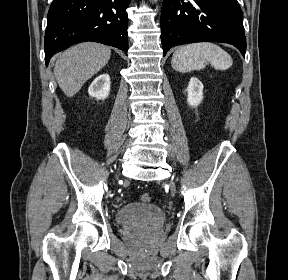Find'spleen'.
Here are the masks:
<instances>
[{"instance_id": "3e777b00", "label": "spleen", "mask_w": 288, "mask_h": 280, "mask_svg": "<svg viewBox=\"0 0 288 280\" xmlns=\"http://www.w3.org/2000/svg\"><path fill=\"white\" fill-rule=\"evenodd\" d=\"M207 63L216 70H226L232 66L233 60L225 50L209 42L179 47L171 60L173 69L182 73L204 69Z\"/></svg>"}]
</instances>
